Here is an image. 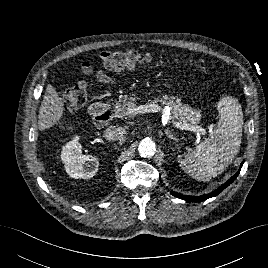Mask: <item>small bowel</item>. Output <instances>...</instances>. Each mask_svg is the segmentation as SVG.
<instances>
[{"mask_svg":"<svg viewBox=\"0 0 268 268\" xmlns=\"http://www.w3.org/2000/svg\"><path fill=\"white\" fill-rule=\"evenodd\" d=\"M82 71L84 74L94 77L98 82L106 85H115L118 79L115 75L105 72L100 68H94L89 62L82 64Z\"/></svg>","mask_w":268,"mask_h":268,"instance_id":"obj_1","label":"small bowel"}]
</instances>
